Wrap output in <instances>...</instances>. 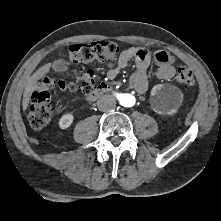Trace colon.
Segmentation results:
<instances>
[{
    "label": "colon",
    "instance_id": "colon-1",
    "mask_svg": "<svg viewBox=\"0 0 221 221\" xmlns=\"http://www.w3.org/2000/svg\"><path fill=\"white\" fill-rule=\"evenodd\" d=\"M122 45L110 41H97L90 44H73L69 48V58L73 63H88L93 60H112L122 50ZM161 58H164L161 56ZM175 79L178 83L192 86L194 76L187 67L177 70ZM96 76L93 71L88 70L78 73L73 80L65 81L54 78H43L40 80L30 95V108L28 120L35 129L45 127L52 116L51 93L55 89L68 91L81 90L90 93L95 86Z\"/></svg>",
    "mask_w": 221,
    "mask_h": 221
}]
</instances>
